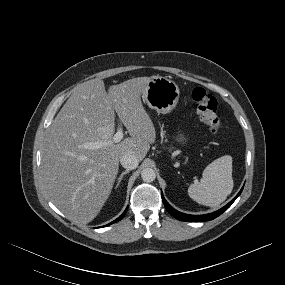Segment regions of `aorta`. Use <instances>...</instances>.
<instances>
[{
    "label": "aorta",
    "instance_id": "aorta-1",
    "mask_svg": "<svg viewBox=\"0 0 285 285\" xmlns=\"http://www.w3.org/2000/svg\"><path fill=\"white\" fill-rule=\"evenodd\" d=\"M141 178L144 182H153L156 178V173L152 168H145L141 172Z\"/></svg>",
    "mask_w": 285,
    "mask_h": 285
}]
</instances>
